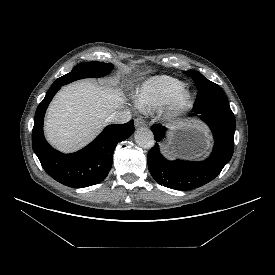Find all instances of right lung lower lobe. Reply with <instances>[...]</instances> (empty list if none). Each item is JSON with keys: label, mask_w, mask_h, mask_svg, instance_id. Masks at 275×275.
<instances>
[{"label": "right lung lower lobe", "mask_w": 275, "mask_h": 275, "mask_svg": "<svg viewBox=\"0 0 275 275\" xmlns=\"http://www.w3.org/2000/svg\"><path fill=\"white\" fill-rule=\"evenodd\" d=\"M61 86L62 83L52 84L37 107L32 130L33 150L44 170L56 181L73 188L98 184L107 177L112 167L116 145L134 132V121L109 125L82 150L73 154H62L54 150L43 135L46 109Z\"/></svg>", "instance_id": "1"}]
</instances>
